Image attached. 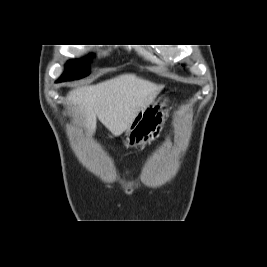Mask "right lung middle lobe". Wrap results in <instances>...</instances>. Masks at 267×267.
Segmentation results:
<instances>
[{
  "label": "right lung middle lobe",
  "mask_w": 267,
  "mask_h": 267,
  "mask_svg": "<svg viewBox=\"0 0 267 267\" xmlns=\"http://www.w3.org/2000/svg\"><path fill=\"white\" fill-rule=\"evenodd\" d=\"M90 58H83L79 60H70L66 64V69L64 74L57 82H62L65 80L80 79L87 76L90 73L88 67V61Z\"/></svg>",
  "instance_id": "right-lung-middle-lobe-1"
}]
</instances>
